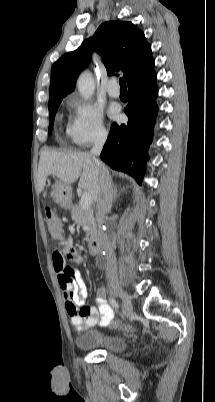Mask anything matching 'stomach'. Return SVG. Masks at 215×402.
I'll return each mask as SVG.
<instances>
[{"instance_id":"1","label":"stomach","mask_w":215,"mask_h":402,"mask_svg":"<svg viewBox=\"0 0 215 402\" xmlns=\"http://www.w3.org/2000/svg\"><path fill=\"white\" fill-rule=\"evenodd\" d=\"M72 188L69 184H65L60 180L56 181L52 187L51 196L56 204L64 209L71 207Z\"/></svg>"}]
</instances>
